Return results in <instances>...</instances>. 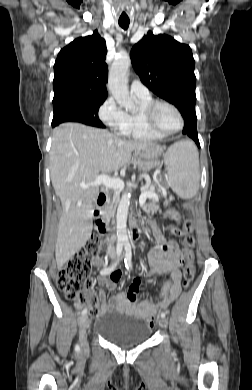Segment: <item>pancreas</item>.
Wrapping results in <instances>:
<instances>
[{
	"label": "pancreas",
	"mask_w": 252,
	"mask_h": 390,
	"mask_svg": "<svg viewBox=\"0 0 252 390\" xmlns=\"http://www.w3.org/2000/svg\"><path fill=\"white\" fill-rule=\"evenodd\" d=\"M118 197H119L118 193H115L113 196V199L117 200ZM157 203L158 202H149V203L143 205V207L147 211V214L149 217H156L157 216V212H159V205ZM168 204H169V200H166L165 205L167 206Z\"/></svg>",
	"instance_id": "cf45deb5"
}]
</instances>
